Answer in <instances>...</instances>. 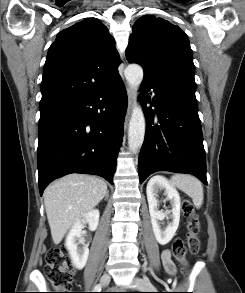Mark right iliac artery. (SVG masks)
Wrapping results in <instances>:
<instances>
[{
    "mask_svg": "<svg viewBox=\"0 0 245 293\" xmlns=\"http://www.w3.org/2000/svg\"><path fill=\"white\" fill-rule=\"evenodd\" d=\"M94 290H95V292H100V290H101V285H100V284H97V285L94 287Z\"/></svg>",
    "mask_w": 245,
    "mask_h": 293,
    "instance_id": "1",
    "label": "right iliac artery"
}]
</instances>
